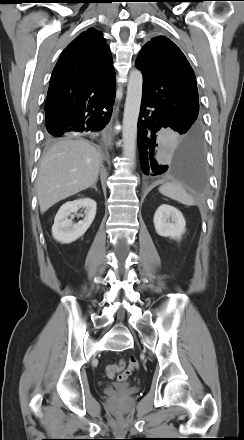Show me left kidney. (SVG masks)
<instances>
[{
  "mask_svg": "<svg viewBox=\"0 0 244 440\" xmlns=\"http://www.w3.org/2000/svg\"><path fill=\"white\" fill-rule=\"evenodd\" d=\"M156 233L163 237L180 239L186 231L182 213L173 206L162 204L154 214Z\"/></svg>",
  "mask_w": 244,
  "mask_h": 440,
  "instance_id": "5707ae66",
  "label": "left kidney"
}]
</instances>
